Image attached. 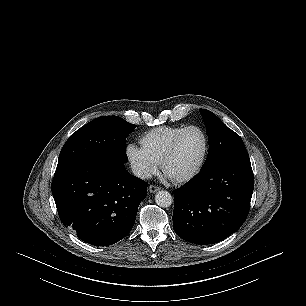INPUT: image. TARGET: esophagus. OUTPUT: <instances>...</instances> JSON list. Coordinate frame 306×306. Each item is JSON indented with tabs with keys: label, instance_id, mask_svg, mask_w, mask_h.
I'll return each instance as SVG.
<instances>
[{
	"label": "esophagus",
	"instance_id": "34e87169",
	"mask_svg": "<svg viewBox=\"0 0 306 306\" xmlns=\"http://www.w3.org/2000/svg\"><path fill=\"white\" fill-rule=\"evenodd\" d=\"M148 190H149L150 193H155V192L161 190V187H158V186H155V185H150L148 187Z\"/></svg>",
	"mask_w": 306,
	"mask_h": 306
}]
</instances>
